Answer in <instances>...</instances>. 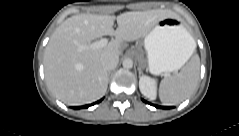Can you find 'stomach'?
Returning <instances> with one entry per match:
<instances>
[{
	"label": "stomach",
	"mask_w": 239,
	"mask_h": 136,
	"mask_svg": "<svg viewBox=\"0 0 239 136\" xmlns=\"http://www.w3.org/2000/svg\"><path fill=\"white\" fill-rule=\"evenodd\" d=\"M192 37L178 17H166L145 35L144 47L151 73L180 69L192 53Z\"/></svg>",
	"instance_id": "obj_1"
}]
</instances>
